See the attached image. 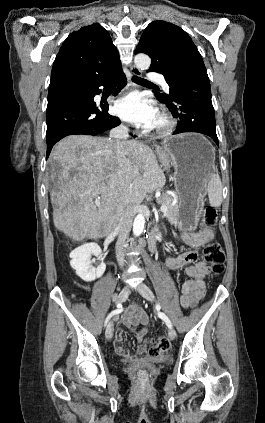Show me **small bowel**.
I'll use <instances>...</instances> for the list:
<instances>
[{
    "instance_id": "c3829d8e",
    "label": "small bowel",
    "mask_w": 265,
    "mask_h": 423,
    "mask_svg": "<svg viewBox=\"0 0 265 423\" xmlns=\"http://www.w3.org/2000/svg\"><path fill=\"white\" fill-rule=\"evenodd\" d=\"M178 238L188 247L196 249L205 242L215 238V233L210 229H204L199 232L183 231L179 233ZM197 252L190 250L177 256H168L166 266L170 270H179L185 268V273L190 278L183 283L180 295L181 305L185 308L194 307L205 291L204 278L208 274V266L203 261H197ZM122 321L128 327H143L138 333L139 340H142L147 331L149 318L146 312L140 306H132L125 310L122 315ZM124 336L122 331L116 333L115 350L128 361H133L136 357L144 354V349L140 348L135 355L125 350L123 346Z\"/></svg>"
}]
</instances>
